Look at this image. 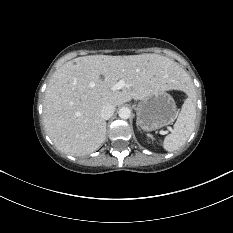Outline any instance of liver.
Wrapping results in <instances>:
<instances>
[{"instance_id":"1","label":"liver","mask_w":233,"mask_h":233,"mask_svg":"<svg viewBox=\"0 0 233 233\" xmlns=\"http://www.w3.org/2000/svg\"><path fill=\"white\" fill-rule=\"evenodd\" d=\"M119 80L125 87L112 90ZM187 77L172 60L157 54L89 55L68 61L50 79L43 122L56 148L69 155L95 151L105 139L103 105L115 107L152 94L183 89Z\"/></svg>"}]
</instances>
